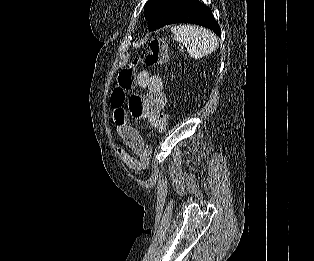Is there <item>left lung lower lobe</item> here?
<instances>
[{"label":"left lung lower lobe","mask_w":314,"mask_h":261,"mask_svg":"<svg viewBox=\"0 0 314 261\" xmlns=\"http://www.w3.org/2000/svg\"><path fill=\"white\" fill-rule=\"evenodd\" d=\"M194 23L214 31L218 36L221 30L211 9L199 0H184L172 19L166 24Z\"/></svg>","instance_id":"0a47b994"}]
</instances>
